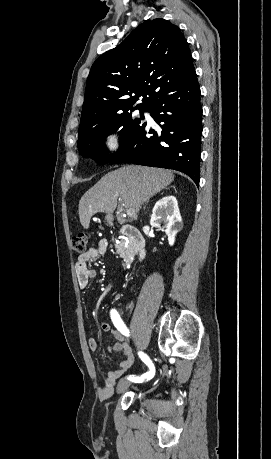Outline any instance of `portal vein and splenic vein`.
<instances>
[{"label":"portal vein and splenic vein","mask_w":271,"mask_h":459,"mask_svg":"<svg viewBox=\"0 0 271 459\" xmlns=\"http://www.w3.org/2000/svg\"><path fill=\"white\" fill-rule=\"evenodd\" d=\"M126 214H127V216H129V218H135V216H136L135 210H133V208H129V210H127Z\"/></svg>","instance_id":"obj_1"}]
</instances>
